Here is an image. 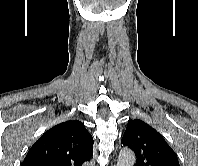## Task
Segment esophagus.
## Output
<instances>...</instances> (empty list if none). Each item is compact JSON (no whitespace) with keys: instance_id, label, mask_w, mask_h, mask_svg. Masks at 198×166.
I'll return each mask as SVG.
<instances>
[{"instance_id":"34e87169","label":"esophagus","mask_w":198,"mask_h":166,"mask_svg":"<svg viewBox=\"0 0 198 166\" xmlns=\"http://www.w3.org/2000/svg\"><path fill=\"white\" fill-rule=\"evenodd\" d=\"M112 166H116V164L115 163H112Z\"/></svg>"}]
</instances>
